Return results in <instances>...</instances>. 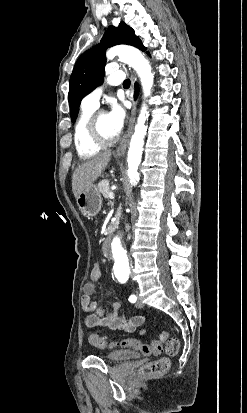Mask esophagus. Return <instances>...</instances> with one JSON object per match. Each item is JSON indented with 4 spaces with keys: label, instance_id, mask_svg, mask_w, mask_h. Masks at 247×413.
Wrapping results in <instances>:
<instances>
[{
    "label": "esophagus",
    "instance_id": "esophagus-1",
    "mask_svg": "<svg viewBox=\"0 0 247 413\" xmlns=\"http://www.w3.org/2000/svg\"><path fill=\"white\" fill-rule=\"evenodd\" d=\"M136 112H137V102L133 101L127 132L125 134L124 139L121 141V143L116 148V152H117L118 156L124 155V153H125V151L128 147L129 140H130V137H131V134H132V131H133V127H134V123H135V119H136Z\"/></svg>",
    "mask_w": 247,
    "mask_h": 413
}]
</instances>
